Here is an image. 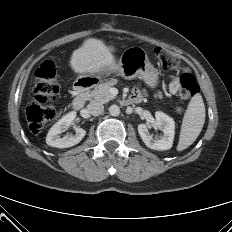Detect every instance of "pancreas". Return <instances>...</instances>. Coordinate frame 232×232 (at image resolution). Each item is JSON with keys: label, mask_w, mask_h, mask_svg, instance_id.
<instances>
[{"label": "pancreas", "mask_w": 232, "mask_h": 232, "mask_svg": "<svg viewBox=\"0 0 232 232\" xmlns=\"http://www.w3.org/2000/svg\"><path fill=\"white\" fill-rule=\"evenodd\" d=\"M117 84V80H111L103 85L92 90L88 95V99L91 102L107 103L110 100L115 99V96L111 94L110 89Z\"/></svg>", "instance_id": "obj_1"}]
</instances>
